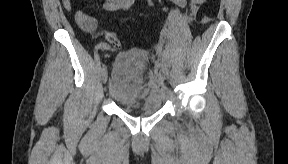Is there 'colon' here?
Wrapping results in <instances>:
<instances>
[{"instance_id": "1", "label": "colon", "mask_w": 288, "mask_h": 164, "mask_svg": "<svg viewBox=\"0 0 288 164\" xmlns=\"http://www.w3.org/2000/svg\"><path fill=\"white\" fill-rule=\"evenodd\" d=\"M90 27H91V25H89L87 28H90ZM101 37L103 39H105L107 42H109L110 46H119L120 45L118 37L112 32L103 30L101 32ZM114 51L115 52H120L121 50L120 49H115Z\"/></svg>"}]
</instances>
